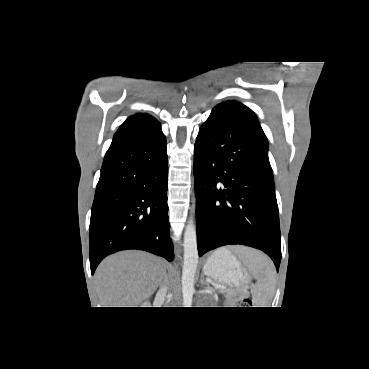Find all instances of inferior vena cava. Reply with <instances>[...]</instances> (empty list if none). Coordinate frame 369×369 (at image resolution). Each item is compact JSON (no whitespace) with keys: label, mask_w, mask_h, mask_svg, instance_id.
<instances>
[{"label":"inferior vena cava","mask_w":369,"mask_h":369,"mask_svg":"<svg viewBox=\"0 0 369 369\" xmlns=\"http://www.w3.org/2000/svg\"><path fill=\"white\" fill-rule=\"evenodd\" d=\"M163 295H165L166 294V291H167V289H166V286L164 285V283H162L161 284V286H160V290H159Z\"/></svg>","instance_id":"602c4592"}]
</instances>
